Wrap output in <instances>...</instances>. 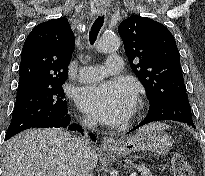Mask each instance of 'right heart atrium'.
Returning <instances> with one entry per match:
<instances>
[{"label": "right heart atrium", "mask_w": 205, "mask_h": 176, "mask_svg": "<svg viewBox=\"0 0 205 176\" xmlns=\"http://www.w3.org/2000/svg\"><path fill=\"white\" fill-rule=\"evenodd\" d=\"M84 121L86 124H89V125L92 124V120L88 117L84 118Z\"/></svg>", "instance_id": "1"}]
</instances>
